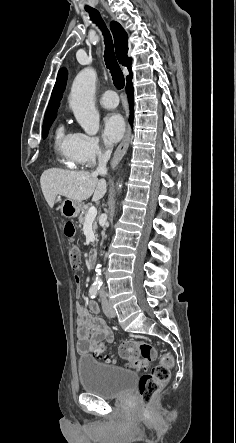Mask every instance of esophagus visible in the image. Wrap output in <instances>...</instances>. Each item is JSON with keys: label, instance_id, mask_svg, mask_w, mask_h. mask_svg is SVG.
Returning a JSON list of instances; mask_svg holds the SVG:
<instances>
[{"label": "esophagus", "instance_id": "esophagus-1", "mask_svg": "<svg viewBox=\"0 0 236 443\" xmlns=\"http://www.w3.org/2000/svg\"><path fill=\"white\" fill-rule=\"evenodd\" d=\"M130 136H131V128H130V126H128L123 140L121 141V143L117 147L116 151L114 152V155H113L111 163H110L111 168H114L115 165L121 160V158L125 154V152L128 148V145H129Z\"/></svg>", "mask_w": 236, "mask_h": 443}]
</instances>
